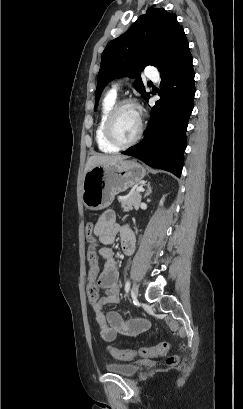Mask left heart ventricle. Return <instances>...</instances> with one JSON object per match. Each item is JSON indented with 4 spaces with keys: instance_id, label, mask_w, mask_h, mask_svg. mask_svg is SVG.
<instances>
[{
    "instance_id": "b2bd125f",
    "label": "left heart ventricle",
    "mask_w": 243,
    "mask_h": 409,
    "mask_svg": "<svg viewBox=\"0 0 243 409\" xmlns=\"http://www.w3.org/2000/svg\"><path fill=\"white\" fill-rule=\"evenodd\" d=\"M139 112L127 106L120 110L114 121L116 135L124 141L132 139L139 130Z\"/></svg>"
}]
</instances>
